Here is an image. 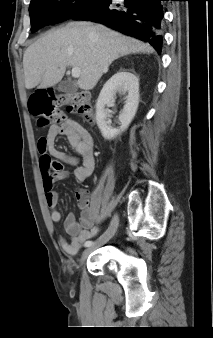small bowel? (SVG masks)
I'll list each match as a JSON object with an SVG mask.
<instances>
[{
	"label": "small bowel",
	"mask_w": 213,
	"mask_h": 338,
	"mask_svg": "<svg viewBox=\"0 0 213 338\" xmlns=\"http://www.w3.org/2000/svg\"><path fill=\"white\" fill-rule=\"evenodd\" d=\"M58 136H65L69 144L75 151V155L59 150L55 146ZM37 148L41 153L39 162L41 177L43 181L45 203L50 210V220L53 224H59L61 214L58 210L59 192L54 187L57 180H65L70 174L64 170V163L78 165L82 160V165L74 170V177L82 182L85 181L94 171V139L92 135L77 121L66 119L60 125L49 127L46 135H41L37 139ZM76 202L82 209L79 220L73 216H68L65 220V230L70 236L58 235V242L64 253L75 256L82 247V244L93 237L98 227L93 223V216L90 211V197L86 190L76 191Z\"/></svg>",
	"instance_id": "obj_1"
}]
</instances>
